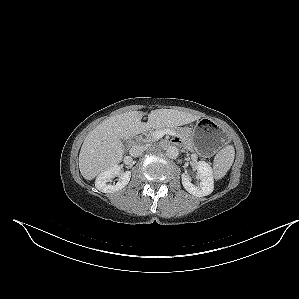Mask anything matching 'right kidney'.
<instances>
[{
	"instance_id": "1",
	"label": "right kidney",
	"mask_w": 299,
	"mask_h": 299,
	"mask_svg": "<svg viewBox=\"0 0 299 299\" xmlns=\"http://www.w3.org/2000/svg\"><path fill=\"white\" fill-rule=\"evenodd\" d=\"M119 176V180L116 184H107L112 181V178ZM131 172H121V168L118 165L109 168L108 170L100 173L95 181V187L103 193H114L123 189L130 181Z\"/></svg>"
}]
</instances>
